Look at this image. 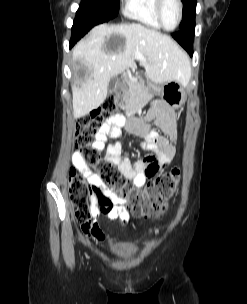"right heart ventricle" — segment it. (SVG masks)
Masks as SVG:
<instances>
[{"instance_id":"obj_1","label":"right heart ventricle","mask_w":247,"mask_h":304,"mask_svg":"<svg viewBox=\"0 0 247 304\" xmlns=\"http://www.w3.org/2000/svg\"><path fill=\"white\" fill-rule=\"evenodd\" d=\"M155 4L156 0H126L124 14L147 27L161 29L156 17Z\"/></svg>"}]
</instances>
